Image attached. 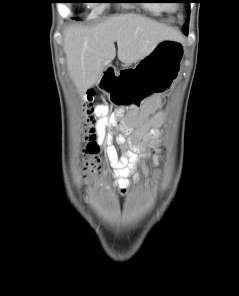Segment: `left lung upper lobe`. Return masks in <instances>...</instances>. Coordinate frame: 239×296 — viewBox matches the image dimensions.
Segmentation results:
<instances>
[{"label":"left lung upper lobe","mask_w":239,"mask_h":296,"mask_svg":"<svg viewBox=\"0 0 239 296\" xmlns=\"http://www.w3.org/2000/svg\"><path fill=\"white\" fill-rule=\"evenodd\" d=\"M189 3V2H187ZM188 16H189V8H188ZM182 29H188V17L186 23L183 25Z\"/></svg>","instance_id":"left-lung-upper-lobe-1"}]
</instances>
